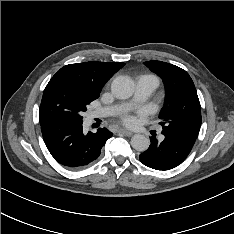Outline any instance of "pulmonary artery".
I'll return each mask as SVG.
<instances>
[{"instance_id":"e3ab8cb5","label":"pulmonary artery","mask_w":234,"mask_h":234,"mask_svg":"<svg viewBox=\"0 0 234 234\" xmlns=\"http://www.w3.org/2000/svg\"><path fill=\"white\" fill-rule=\"evenodd\" d=\"M156 87L157 83L152 77L147 75L140 77L139 80L137 81L134 101L141 102L148 99ZM126 107L127 104L106 107L101 111L94 112L93 117L108 116L120 112L124 110Z\"/></svg>"}]
</instances>
